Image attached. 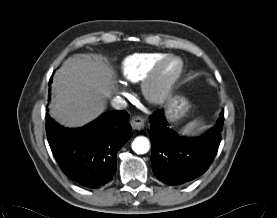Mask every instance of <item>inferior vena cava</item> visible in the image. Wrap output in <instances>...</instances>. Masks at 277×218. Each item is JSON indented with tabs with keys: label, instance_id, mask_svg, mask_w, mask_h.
Returning a JSON list of instances; mask_svg holds the SVG:
<instances>
[{
	"label": "inferior vena cava",
	"instance_id": "602c4592",
	"mask_svg": "<svg viewBox=\"0 0 277 218\" xmlns=\"http://www.w3.org/2000/svg\"><path fill=\"white\" fill-rule=\"evenodd\" d=\"M111 104L116 110H123L127 107V102L122 98H114Z\"/></svg>",
	"mask_w": 277,
	"mask_h": 218
}]
</instances>
